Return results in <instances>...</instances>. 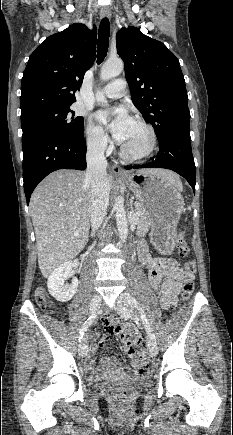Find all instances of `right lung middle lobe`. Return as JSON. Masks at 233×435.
Wrapping results in <instances>:
<instances>
[{
	"label": "right lung middle lobe",
	"instance_id": "dd1d6c3e",
	"mask_svg": "<svg viewBox=\"0 0 233 435\" xmlns=\"http://www.w3.org/2000/svg\"><path fill=\"white\" fill-rule=\"evenodd\" d=\"M74 114L70 106L66 105L42 108L22 115V141L45 133H55L68 138L81 137L84 119Z\"/></svg>",
	"mask_w": 233,
	"mask_h": 435
}]
</instances>
